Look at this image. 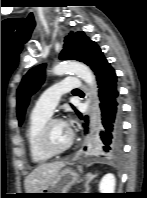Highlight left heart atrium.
I'll use <instances>...</instances> for the list:
<instances>
[{
  "label": "left heart atrium",
  "mask_w": 147,
  "mask_h": 198,
  "mask_svg": "<svg viewBox=\"0 0 147 198\" xmlns=\"http://www.w3.org/2000/svg\"><path fill=\"white\" fill-rule=\"evenodd\" d=\"M62 124L70 131V121L69 120L62 121Z\"/></svg>",
  "instance_id": "left-heart-atrium-1"
}]
</instances>
